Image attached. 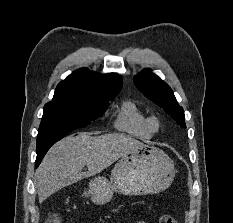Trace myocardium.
<instances>
[{
	"mask_svg": "<svg viewBox=\"0 0 233 223\" xmlns=\"http://www.w3.org/2000/svg\"><path fill=\"white\" fill-rule=\"evenodd\" d=\"M148 127L152 133H158L163 127L162 120L158 116H151L148 118Z\"/></svg>",
	"mask_w": 233,
	"mask_h": 223,
	"instance_id": "myocardium-1",
	"label": "myocardium"
}]
</instances>
